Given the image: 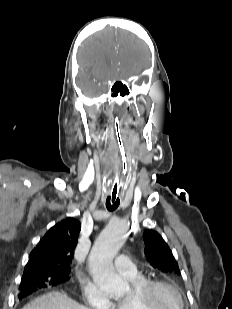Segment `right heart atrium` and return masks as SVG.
<instances>
[{
    "instance_id": "d8ad5b80",
    "label": "right heart atrium",
    "mask_w": 232,
    "mask_h": 309,
    "mask_svg": "<svg viewBox=\"0 0 232 309\" xmlns=\"http://www.w3.org/2000/svg\"><path fill=\"white\" fill-rule=\"evenodd\" d=\"M85 304L92 309H112L113 302L106 293L92 281L81 282Z\"/></svg>"
}]
</instances>
